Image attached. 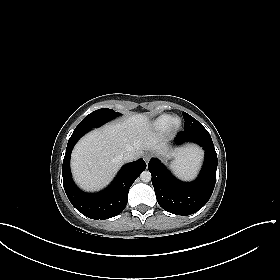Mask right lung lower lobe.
<instances>
[{"instance_id":"1","label":"right lung lower lobe","mask_w":280,"mask_h":280,"mask_svg":"<svg viewBox=\"0 0 280 280\" xmlns=\"http://www.w3.org/2000/svg\"><path fill=\"white\" fill-rule=\"evenodd\" d=\"M87 131L73 133L68 141L63 160V185L71 204L83 215L91 219H109L120 214L126 207L128 192L135 179L146 168L143 159L123 166L114 181L102 192L88 194L79 190L71 177L70 156L76 142Z\"/></svg>"}]
</instances>
